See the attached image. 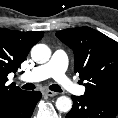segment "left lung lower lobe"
<instances>
[{
	"mask_svg": "<svg viewBox=\"0 0 118 118\" xmlns=\"http://www.w3.org/2000/svg\"><path fill=\"white\" fill-rule=\"evenodd\" d=\"M73 107L66 118H115L118 114V104L82 96H71Z\"/></svg>",
	"mask_w": 118,
	"mask_h": 118,
	"instance_id": "obj_1",
	"label": "left lung lower lobe"
}]
</instances>
